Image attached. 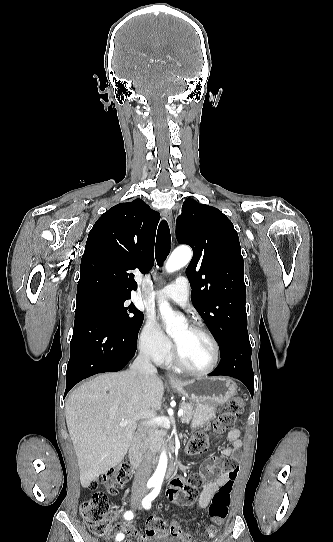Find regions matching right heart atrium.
Listing matches in <instances>:
<instances>
[{"label": "right heart atrium", "instance_id": "1", "mask_svg": "<svg viewBox=\"0 0 333 542\" xmlns=\"http://www.w3.org/2000/svg\"><path fill=\"white\" fill-rule=\"evenodd\" d=\"M138 344L140 351L149 358H158L167 354L170 347V341L153 317L145 319L139 332Z\"/></svg>", "mask_w": 333, "mask_h": 542}]
</instances>
